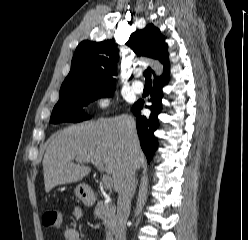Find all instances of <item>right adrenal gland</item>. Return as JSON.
I'll return each instance as SVG.
<instances>
[{"label":"right adrenal gland","mask_w":248,"mask_h":240,"mask_svg":"<svg viewBox=\"0 0 248 240\" xmlns=\"http://www.w3.org/2000/svg\"><path fill=\"white\" fill-rule=\"evenodd\" d=\"M137 184H138V181H136V184H135V186H134L133 195H134V193H135V191H136Z\"/></svg>","instance_id":"1"}]
</instances>
